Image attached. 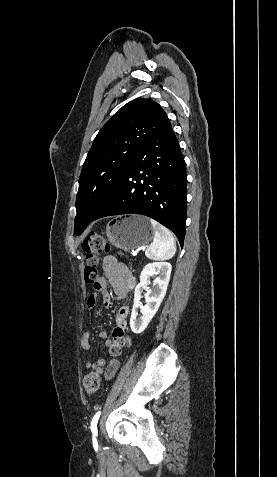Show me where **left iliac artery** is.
<instances>
[{"label":"left iliac artery","instance_id":"obj_1","mask_svg":"<svg viewBox=\"0 0 277 477\" xmlns=\"http://www.w3.org/2000/svg\"><path fill=\"white\" fill-rule=\"evenodd\" d=\"M99 417H100V411L97 412V413L94 415V417H93V419H92V421H91V427H90V428H91V431H92L94 434H97V422H98Z\"/></svg>","mask_w":277,"mask_h":477}]
</instances>
